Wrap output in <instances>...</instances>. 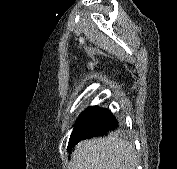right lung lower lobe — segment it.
<instances>
[{
	"label": "right lung lower lobe",
	"mask_w": 177,
	"mask_h": 169,
	"mask_svg": "<svg viewBox=\"0 0 177 169\" xmlns=\"http://www.w3.org/2000/svg\"><path fill=\"white\" fill-rule=\"evenodd\" d=\"M117 127L118 122L108 109L89 107L78 118L67 150H71L81 140L105 135Z\"/></svg>",
	"instance_id": "98d812e1"
}]
</instances>
